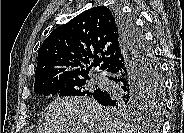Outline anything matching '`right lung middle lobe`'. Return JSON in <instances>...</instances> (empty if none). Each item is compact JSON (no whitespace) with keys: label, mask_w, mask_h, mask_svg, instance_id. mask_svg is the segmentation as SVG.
I'll list each match as a JSON object with an SVG mask.
<instances>
[{"label":"right lung middle lobe","mask_w":184,"mask_h":133,"mask_svg":"<svg viewBox=\"0 0 184 133\" xmlns=\"http://www.w3.org/2000/svg\"><path fill=\"white\" fill-rule=\"evenodd\" d=\"M140 37H143L141 31L135 27ZM144 39V37H143ZM146 53L148 55L147 85L142 90L140 96L136 99L120 97L110 107V111L117 114H128L141 110H154L157 114L163 111L164 104V83L159 64L146 44ZM88 76L52 78L34 84L36 94L59 96H89L99 94L103 89L90 87L87 84Z\"/></svg>","instance_id":"right-lung-middle-lobe-1"}]
</instances>
